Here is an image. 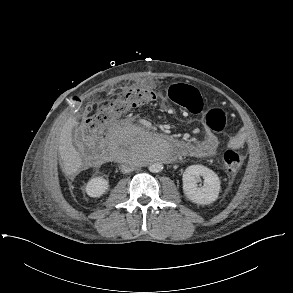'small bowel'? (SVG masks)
Returning <instances> with one entry per match:
<instances>
[{
    "label": "small bowel",
    "instance_id": "obj_1",
    "mask_svg": "<svg viewBox=\"0 0 293 293\" xmlns=\"http://www.w3.org/2000/svg\"><path fill=\"white\" fill-rule=\"evenodd\" d=\"M189 149L183 155L196 158H207L213 156L219 146V140L216 135L207 131L204 139L197 143H188ZM245 144V135L242 132H238L233 135L228 143L227 147L231 149H239Z\"/></svg>",
    "mask_w": 293,
    "mask_h": 293
}]
</instances>
